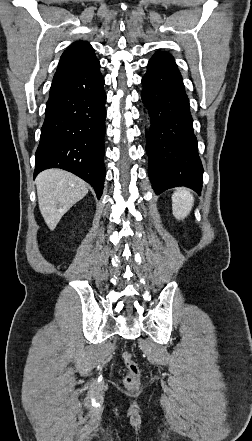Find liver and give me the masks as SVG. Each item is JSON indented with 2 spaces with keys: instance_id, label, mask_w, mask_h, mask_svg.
Masks as SVG:
<instances>
[{
  "instance_id": "1",
  "label": "liver",
  "mask_w": 252,
  "mask_h": 441,
  "mask_svg": "<svg viewBox=\"0 0 252 441\" xmlns=\"http://www.w3.org/2000/svg\"><path fill=\"white\" fill-rule=\"evenodd\" d=\"M40 212L50 230L62 216L88 193L86 183L72 173L48 169L35 180Z\"/></svg>"
}]
</instances>
